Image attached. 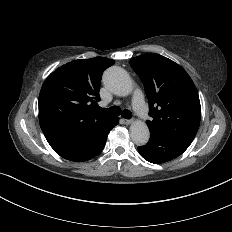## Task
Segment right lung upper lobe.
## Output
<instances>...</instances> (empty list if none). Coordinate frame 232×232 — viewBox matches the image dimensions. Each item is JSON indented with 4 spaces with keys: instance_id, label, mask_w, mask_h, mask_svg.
<instances>
[{
    "instance_id": "right-lung-upper-lobe-1",
    "label": "right lung upper lobe",
    "mask_w": 232,
    "mask_h": 232,
    "mask_svg": "<svg viewBox=\"0 0 232 232\" xmlns=\"http://www.w3.org/2000/svg\"><path fill=\"white\" fill-rule=\"evenodd\" d=\"M114 64L106 57L74 60L45 80L39 95V121L44 134L82 130L111 118L97 110L102 73Z\"/></svg>"
}]
</instances>
